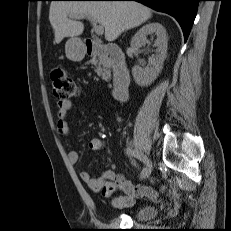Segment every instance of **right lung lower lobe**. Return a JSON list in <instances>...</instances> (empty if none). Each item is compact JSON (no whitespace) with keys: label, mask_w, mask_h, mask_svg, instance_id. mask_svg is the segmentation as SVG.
Masks as SVG:
<instances>
[{"label":"right lung lower lobe","mask_w":231,"mask_h":231,"mask_svg":"<svg viewBox=\"0 0 231 231\" xmlns=\"http://www.w3.org/2000/svg\"><path fill=\"white\" fill-rule=\"evenodd\" d=\"M104 1V0H95ZM112 1V0H109ZM115 1H137L154 10L173 16L180 24L185 41L187 40L193 25L198 3L201 0H115Z\"/></svg>","instance_id":"1"}]
</instances>
